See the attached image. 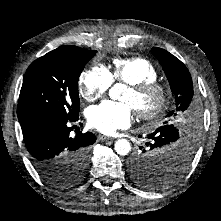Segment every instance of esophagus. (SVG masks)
Wrapping results in <instances>:
<instances>
[{
	"instance_id": "obj_1",
	"label": "esophagus",
	"mask_w": 221,
	"mask_h": 221,
	"mask_svg": "<svg viewBox=\"0 0 221 221\" xmlns=\"http://www.w3.org/2000/svg\"><path fill=\"white\" fill-rule=\"evenodd\" d=\"M99 140L101 141H108V140H112V138L107 137V136H103V135H99L98 136Z\"/></svg>"
}]
</instances>
